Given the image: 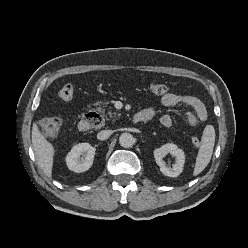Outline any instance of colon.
<instances>
[{
    "label": "colon",
    "instance_id": "colon-1",
    "mask_svg": "<svg viewBox=\"0 0 248 248\" xmlns=\"http://www.w3.org/2000/svg\"><path fill=\"white\" fill-rule=\"evenodd\" d=\"M149 90L154 95H165L169 91V87L162 83H153L150 85ZM74 89L70 84L64 85L59 91V97L62 100L69 101L73 98ZM62 125V120L59 117H49L42 119L39 124V130L46 138H53L57 136ZM192 144L195 147L200 146V140L198 137L192 138Z\"/></svg>",
    "mask_w": 248,
    "mask_h": 248
}]
</instances>
